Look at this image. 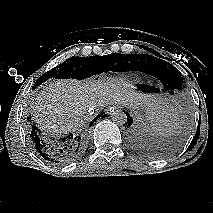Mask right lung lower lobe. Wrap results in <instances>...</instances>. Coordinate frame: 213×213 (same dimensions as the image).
Instances as JSON below:
<instances>
[{"mask_svg":"<svg viewBox=\"0 0 213 213\" xmlns=\"http://www.w3.org/2000/svg\"><path fill=\"white\" fill-rule=\"evenodd\" d=\"M41 83H35L33 90ZM104 117V112L100 113L90 124L98 119ZM28 125L30 130V139L36 151L46 160L64 164L79 157L82 153L86 137L83 135L68 134L64 137H51L44 134L33 122L31 115L28 117Z\"/></svg>","mask_w":213,"mask_h":213,"instance_id":"right-lung-lower-lobe-1","label":"right lung lower lobe"}]
</instances>
